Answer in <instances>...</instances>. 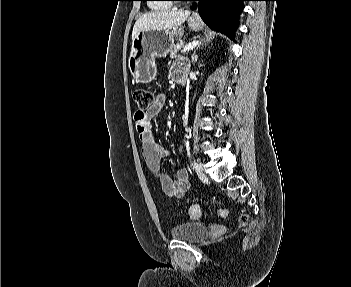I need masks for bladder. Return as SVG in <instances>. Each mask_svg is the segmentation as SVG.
Segmentation results:
<instances>
[{
    "instance_id": "bladder-1",
    "label": "bladder",
    "mask_w": 351,
    "mask_h": 287,
    "mask_svg": "<svg viewBox=\"0 0 351 287\" xmlns=\"http://www.w3.org/2000/svg\"><path fill=\"white\" fill-rule=\"evenodd\" d=\"M208 233V227L201 221H187L177 224L171 229V236L175 239L197 242Z\"/></svg>"
}]
</instances>
